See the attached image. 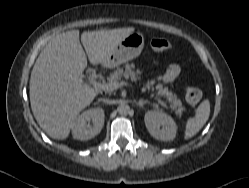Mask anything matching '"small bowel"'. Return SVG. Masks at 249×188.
Listing matches in <instances>:
<instances>
[{"mask_svg": "<svg viewBox=\"0 0 249 188\" xmlns=\"http://www.w3.org/2000/svg\"><path fill=\"white\" fill-rule=\"evenodd\" d=\"M180 74V66L178 64H170L164 72L160 75L159 79L167 84L173 82Z\"/></svg>", "mask_w": 249, "mask_h": 188, "instance_id": "obj_1", "label": "small bowel"}]
</instances>
